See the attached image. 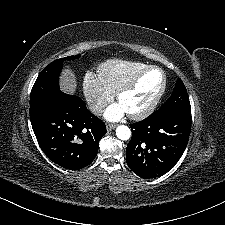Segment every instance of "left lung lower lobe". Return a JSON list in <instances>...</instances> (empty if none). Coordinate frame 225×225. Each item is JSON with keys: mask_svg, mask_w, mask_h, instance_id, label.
<instances>
[{"mask_svg": "<svg viewBox=\"0 0 225 225\" xmlns=\"http://www.w3.org/2000/svg\"><path fill=\"white\" fill-rule=\"evenodd\" d=\"M130 127L132 138L126 148L129 168L141 178H156L181 158L191 131V109L157 110Z\"/></svg>", "mask_w": 225, "mask_h": 225, "instance_id": "0a47b994", "label": "left lung lower lobe"}]
</instances>
